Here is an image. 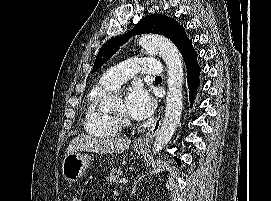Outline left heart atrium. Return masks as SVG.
Listing matches in <instances>:
<instances>
[{
	"instance_id": "obj_1",
	"label": "left heart atrium",
	"mask_w": 271,
	"mask_h": 201,
	"mask_svg": "<svg viewBox=\"0 0 271 201\" xmlns=\"http://www.w3.org/2000/svg\"><path fill=\"white\" fill-rule=\"evenodd\" d=\"M127 114L136 120H144L155 110L156 102L149 90L141 85H134L124 101Z\"/></svg>"
}]
</instances>
